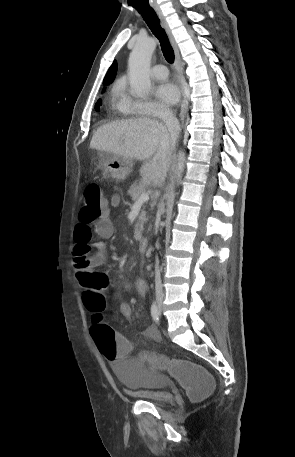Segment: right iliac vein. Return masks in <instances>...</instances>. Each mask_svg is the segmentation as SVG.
<instances>
[{"mask_svg": "<svg viewBox=\"0 0 295 457\" xmlns=\"http://www.w3.org/2000/svg\"><path fill=\"white\" fill-rule=\"evenodd\" d=\"M158 306H159V309L161 310L162 309V302L161 301L158 302Z\"/></svg>", "mask_w": 295, "mask_h": 457, "instance_id": "63e3f726", "label": "right iliac vein"}]
</instances>
